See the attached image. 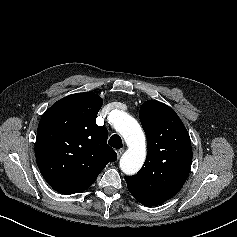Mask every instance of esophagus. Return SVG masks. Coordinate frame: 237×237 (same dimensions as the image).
Wrapping results in <instances>:
<instances>
[{
	"mask_svg": "<svg viewBox=\"0 0 237 237\" xmlns=\"http://www.w3.org/2000/svg\"><path fill=\"white\" fill-rule=\"evenodd\" d=\"M123 153H124V149H119V150L117 151L118 157H121Z\"/></svg>",
	"mask_w": 237,
	"mask_h": 237,
	"instance_id": "34e87169",
	"label": "esophagus"
}]
</instances>
